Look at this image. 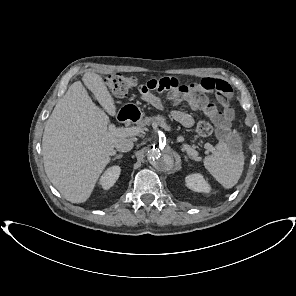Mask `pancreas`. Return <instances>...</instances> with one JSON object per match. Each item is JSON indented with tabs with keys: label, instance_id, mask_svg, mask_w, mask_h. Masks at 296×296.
I'll return each mask as SVG.
<instances>
[{
	"label": "pancreas",
	"instance_id": "obj_1",
	"mask_svg": "<svg viewBox=\"0 0 296 296\" xmlns=\"http://www.w3.org/2000/svg\"><path fill=\"white\" fill-rule=\"evenodd\" d=\"M149 125V124H156L160 127H162L165 130H169V126H167L165 118L161 115L153 116V117H147L145 118L140 125Z\"/></svg>",
	"mask_w": 296,
	"mask_h": 296
}]
</instances>
